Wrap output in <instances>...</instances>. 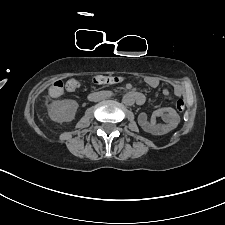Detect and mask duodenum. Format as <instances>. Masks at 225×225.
Here are the masks:
<instances>
[{
  "mask_svg": "<svg viewBox=\"0 0 225 225\" xmlns=\"http://www.w3.org/2000/svg\"><path fill=\"white\" fill-rule=\"evenodd\" d=\"M111 91H97L90 94L91 99H105L112 95ZM125 96L128 100H131L133 103L141 105L144 102V97L141 93L129 91L125 93Z\"/></svg>",
  "mask_w": 225,
  "mask_h": 225,
  "instance_id": "410a0bca",
  "label": "duodenum"
}]
</instances>
